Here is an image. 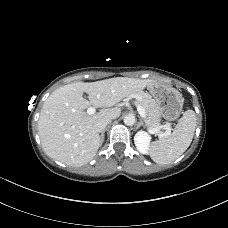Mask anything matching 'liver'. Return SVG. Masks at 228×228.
Returning <instances> with one entry per match:
<instances>
[{
  "mask_svg": "<svg viewBox=\"0 0 228 228\" xmlns=\"http://www.w3.org/2000/svg\"><path fill=\"white\" fill-rule=\"evenodd\" d=\"M156 83L150 79L116 77L96 82H74L56 89L44 102L38 133L44 152L68 166L80 167L91 161L99 147L100 136L95 122L116 119L124 98L142 94ZM87 93L89 100L83 98ZM103 108L97 114L85 112L89 106Z\"/></svg>",
  "mask_w": 228,
  "mask_h": 228,
  "instance_id": "obj_1",
  "label": "liver"
}]
</instances>
